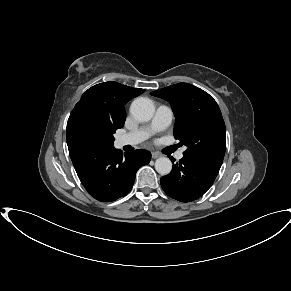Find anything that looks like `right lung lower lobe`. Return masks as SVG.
Returning a JSON list of instances; mask_svg holds the SVG:
<instances>
[{"instance_id":"obj_1","label":"right lung lower lobe","mask_w":291,"mask_h":291,"mask_svg":"<svg viewBox=\"0 0 291 291\" xmlns=\"http://www.w3.org/2000/svg\"><path fill=\"white\" fill-rule=\"evenodd\" d=\"M69 154L77 175L95 199L110 202L125 196L132 188L137 170L150 162L146 150L122 152L81 138H67Z\"/></svg>"}]
</instances>
